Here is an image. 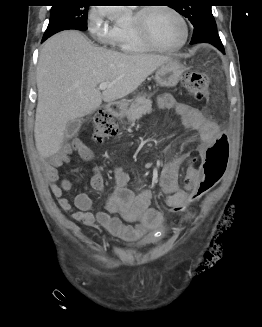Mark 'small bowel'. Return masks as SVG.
<instances>
[{"instance_id":"obj_1","label":"small bowel","mask_w":262,"mask_h":327,"mask_svg":"<svg viewBox=\"0 0 262 327\" xmlns=\"http://www.w3.org/2000/svg\"><path fill=\"white\" fill-rule=\"evenodd\" d=\"M157 104L165 110H174L179 116L182 125L199 134V143L195 153H189L186 178H183L184 187L179 185V169L186 155L174 157L166 163L159 176V184L166 194L167 208L170 206H187V197L191 189L197 186L200 176V158L206 157L208 149L217 142V135H223L219 127L206 119L199 110L185 102L176 100L172 95L165 94L158 98ZM76 151L81 158L91 164L90 184L95 190L104 188V178L99 165L93 162V151L78 139H73L63 145L61 150L45 167V177L50 184L53 195L57 198L60 207L70 213L72 218L88 226H102L110 233L128 241L138 239L146 230H155L162 225L161 212L151 206L153 193L146 189L135 195L128 189L129 175L119 166L113 167L116 187L108 197L107 211L91 213L92 201L88 194L79 193L74 201L63 196L70 190L71 182L60 179L58 168L69 161L72 151ZM118 214L119 216H116ZM132 223L131 224H127Z\"/></svg>"}]
</instances>
